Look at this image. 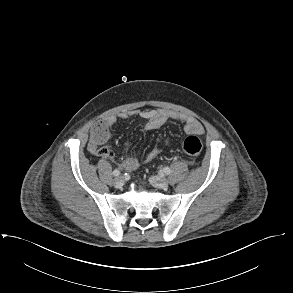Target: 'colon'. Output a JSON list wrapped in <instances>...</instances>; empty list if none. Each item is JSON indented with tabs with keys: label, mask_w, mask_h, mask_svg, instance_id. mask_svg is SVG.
Returning a JSON list of instances; mask_svg holds the SVG:
<instances>
[{
	"label": "colon",
	"mask_w": 293,
	"mask_h": 293,
	"mask_svg": "<svg viewBox=\"0 0 293 293\" xmlns=\"http://www.w3.org/2000/svg\"><path fill=\"white\" fill-rule=\"evenodd\" d=\"M107 133L105 126L102 123L96 124L91 130L90 147L94 154L103 155L108 151L107 147H100L105 142ZM182 150L190 156H197L201 153L202 144L198 137L188 136L182 142Z\"/></svg>",
	"instance_id": "1"
}]
</instances>
